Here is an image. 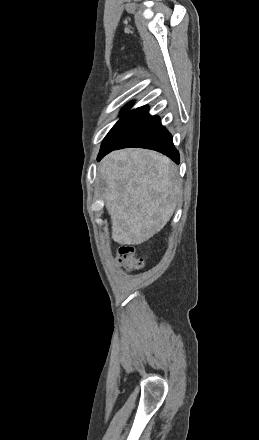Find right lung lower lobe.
I'll return each instance as SVG.
<instances>
[{
    "label": "right lung lower lobe",
    "instance_id": "98d812e1",
    "mask_svg": "<svg viewBox=\"0 0 259 440\" xmlns=\"http://www.w3.org/2000/svg\"><path fill=\"white\" fill-rule=\"evenodd\" d=\"M148 111V106L133 110L106 136L98 160L115 149L140 147L159 151L178 164L179 153L174 147L171 134L162 126L160 118L151 116Z\"/></svg>",
    "mask_w": 259,
    "mask_h": 440
}]
</instances>
